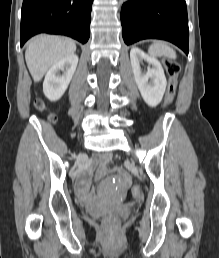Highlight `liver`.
I'll return each instance as SVG.
<instances>
[{
    "mask_svg": "<svg viewBox=\"0 0 219 258\" xmlns=\"http://www.w3.org/2000/svg\"><path fill=\"white\" fill-rule=\"evenodd\" d=\"M75 51L76 44L69 38L53 35L33 38L27 46L25 59L34 82H39L55 63Z\"/></svg>",
    "mask_w": 219,
    "mask_h": 258,
    "instance_id": "obj_1",
    "label": "liver"
}]
</instances>
